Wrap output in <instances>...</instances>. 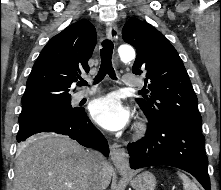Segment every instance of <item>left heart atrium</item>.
I'll return each mask as SVG.
<instances>
[{
    "mask_svg": "<svg viewBox=\"0 0 221 190\" xmlns=\"http://www.w3.org/2000/svg\"><path fill=\"white\" fill-rule=\"evenodd\" d=\"M92 119L101 127L117 131L128 122L129 112L114 95H106L96 99L90 107Z\"/></svg>",
    "mask_w": 221,
    "mask_h": 190,
    "instance_id": "left-heart-atrium-1",
    "label": "left heart atrium"
}]
</instances>
